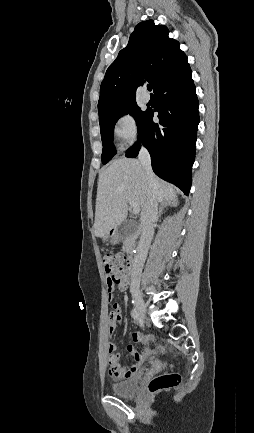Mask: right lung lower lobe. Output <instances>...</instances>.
Listing matches in <instances>:
<instances>
[{
    "mask_svg": "<svg viewBox=\"0 0 254 433\" xmlns=\"http://www.w3.org/2000/svg\"><path fill=\"white\" fill-rule=\"evenodd\" d=\"M156 107L147 110L138 123V141L126 156L138 155L142 144L148 149L154 173L188 195L195 157L198 99L185 58L154 91ZM158 112L159 123L152 120Z\"/></svg>",
    "mask_w": 254,
    "mask_h": 433,
    "instance_id": "right-lung-lower-lobe-1",
    "label": "right lung lower lobe"
}]
</instances>
